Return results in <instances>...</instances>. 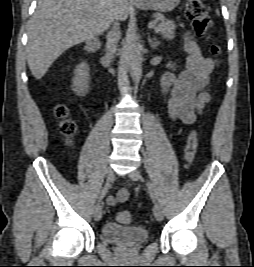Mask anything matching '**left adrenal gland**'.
<instances>
[{"label": "left adrenal gland", "instance_id": "obj_1", "mask_svg": "<svg viewBox=\"0 0 254 267\" xmlns=\"http://www.w3.org/2000/svg\"><path fill=\"white\" fill-rule=\"evenodd\" d=\"M148 41H149L150 46L153 49H156L160 44L159 41H157L156 38H151L149 33H148Z\"/></svg>", "mask_w": 254, "mask_h": 267}]
</instances>
